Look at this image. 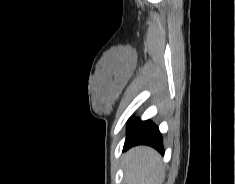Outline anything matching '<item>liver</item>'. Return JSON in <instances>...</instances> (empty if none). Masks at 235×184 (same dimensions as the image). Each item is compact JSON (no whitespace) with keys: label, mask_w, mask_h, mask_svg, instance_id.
<instances>
[{"label":"liver","mask_w":235,"mask_h":184,"mask_svg":"<svg viewBox=\"0 0 235 184\" xmlns=\"http://www.w3.org/2000/svg\"><path fill=\"white\" fill-rule=\"evenodd\" d=\"M123 168L127 184H163L161 156L153 148H131L124 156Z\"/></svg>","instance_id":"liver-1"}]
</instances>
